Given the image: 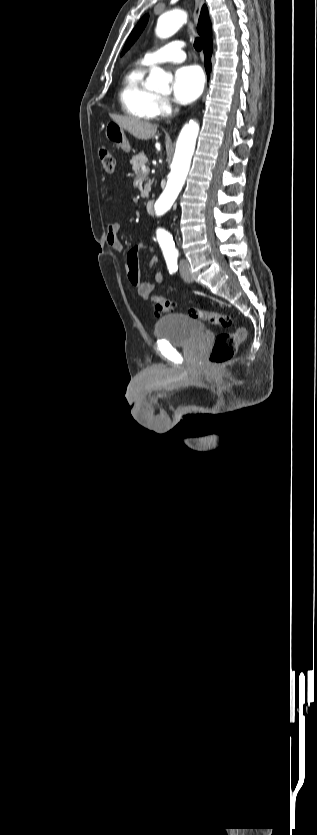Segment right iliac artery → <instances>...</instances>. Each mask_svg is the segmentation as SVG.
Instances as JSON below:
<instances>
[{
	"instance_id": "right-iliac-artery-1",
	"label": "right iliac artery",
	"mask_w": 317,
	"mask_h": 835,
	"mask_svg": "<svg viewBox=\"0 0 317 835\" xmlns=\"http://www.w3.org/2000/svg\"><path fill=\"white\" fill-rule=\"evenodd\" d=\"M166 263L170 273H175L177 271V257L166 258Z\"/></svg>"
}]
</instances>
